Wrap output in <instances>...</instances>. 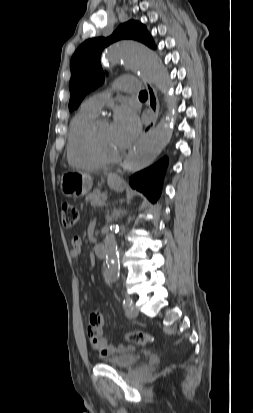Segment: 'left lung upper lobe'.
I'll list each match as a JSON object with an SVG mask.
<instances>
[{"instance_id":"obj_1","label":"left lung upper lobe","mask_w":253,"mask_h":413,"mask_svg":"<svg viewBox=\"0 0 253 413\" xmlns=\"http://www.w3.org/2000/svg\"><path fill=\"white\" fill-rule=\"evenodd\" d=\"M121 39L136 40L155 49L146 27L134 20L119 25L108 38H92L83 42L71 59L69 110L76 109L87 93L103 83L105 75L100 64L101 52L109 44Z\"/></svg>"}]
</instances>
